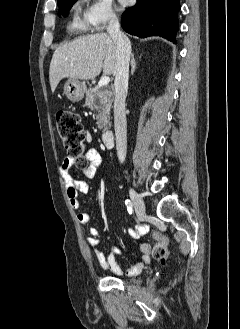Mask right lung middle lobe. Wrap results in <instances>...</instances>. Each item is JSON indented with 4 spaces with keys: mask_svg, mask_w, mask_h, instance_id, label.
<instances>
[{
    "mask_svg": "<svg viewBox=\"0 0 240 329\" xmlns=\"http://www.w3.org/2000/svg\"><path fill=\"white\" fill-rule=\"evenodd\" d=\"M77 0H63L58 2V6H59V16L63 15L66 16L71 5L73 3H75Z\"/></svg>",
    "mask_w": 240,
    "mask_h": 329,
    "instance_id": "obj_1",
    "label": "right lung middle lobe"
}]
</instances>
